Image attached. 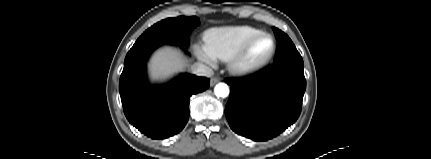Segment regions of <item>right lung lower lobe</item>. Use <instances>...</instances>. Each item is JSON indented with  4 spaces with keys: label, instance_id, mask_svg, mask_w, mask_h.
Returning a JSON list of instances; mask_svg holds the SVG:
<instances>
[{
    "label": "right lung lower lobe",
    "instance_id": "obj_1",
    "mask_svg": "<svg viewBox=\"0 0 431 159\" xmlns=\"http://www.w3.org/2000/svg\"><path fill=\"white\" fill-rule=\"evenodd\" d=\"M163 44L149 41L134 44L127 53L120 77L119 91L128 121L152 139L176 135L189 119V100L209 87V79L184 73L161 85L150 84L146 63L150 54Z\"/></svg>",
    "mask_w": 431,
    "mask_h": 159
}]
</instances>
